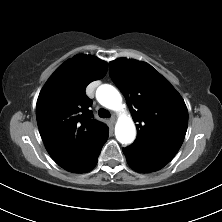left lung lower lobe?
<instances>
[{
  "label": "left lung lower lobe",
  "mask_w": 222,
  "mask_h": 222,
  "mask_svg": "<svg viewBox=\"0 0 222 222\" xmlns=\"http://www.w3.org/2000/svg\"><path fill=\"white\" fill-rule=\"evenodd\" d=\"M127 162H128V164L130 165V167H131L132 169H134L135 171H137V172H142V173L153 172L152 170H149V169H147V168H145V167L136 165L135 163H133V162H131V161H129V160H127Z\"/></svg>",
  "instance_id": "0a47b994"
}]
</instances>
